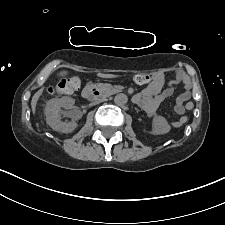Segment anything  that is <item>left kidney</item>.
Returning <instances> with one entry per match:
<instances>
[{
  "instance_id": "1",
  "label": "left kidney",
  "mask_w": 225,
  "mask_h": 225,
  "mask_svg": "<svg viewBox=\"0 0 225 225\" xmlns=\"http://www.w3.org/2000/svg\"><path fill=\"white\" fill-rule=\"evenodd\" d=\"M152 130L154 134H166L171 130V126L163 116H155L152 121Z\"/></svg>"
}]
</instances>
